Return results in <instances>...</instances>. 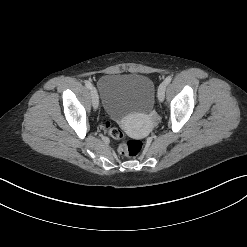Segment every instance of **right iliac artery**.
I'll list each match as a JSON object with an SVG mask.
<instances>
[{
	"label": "right iliac artery",
	"instance_id": "82829eb1",
	"mask_svg": "<svg viewBox=\"0 0 247 247\" xmlns=\"http://www.w3.org/2000/svg\"><path fill=\"white\" fill-rule=\"evenodd\" d=\"M85 85L88 89H92V84L89 81H85Z\"/></svg>",
	"mask_w": 247,
	"mask_h": 247
}]
</instances>
